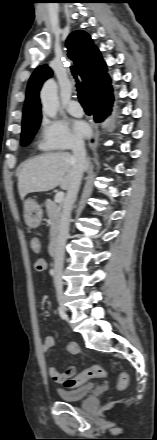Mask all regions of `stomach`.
Masks as SVG:
<instances>
[{
  "instance_id": "stomach-1",
  "label": "stomach",
  "mask_w": 157,
  "mask_h": 440,
  "mask_svg": "<svg viewBox=\"0 0 157 440\" xmlns=\"http://www.w3.org/2000/svg\"><path fill=\"white\" fill-rule=\"evenodd\" d=\"M42 215L41 207L34 200L24 201V219L28 227L37 228L41 223Z\"/></svg>"
}]
</instances>
